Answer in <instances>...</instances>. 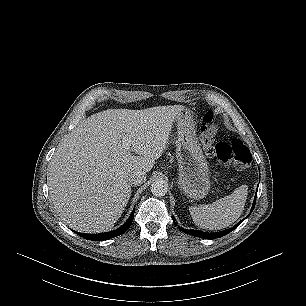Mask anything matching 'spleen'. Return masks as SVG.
<instances>
[{"instance_id":"spleen-1","label":"spleen","mask_w":306,"mask_h":306,"mask_svg":"<svg viewBox=\"0 0 306 306\" xmlns=\"http://www.w3.org/2000/svg\"><path fill=\"white\" fill-rule=\"evenodd\" d=\"M248 186L241 185L231 195L212 204L191 206L190 214L194 223L203 229L219 230L234 223L242 214L247 199Z\"/></svg>"}]
</instances>
